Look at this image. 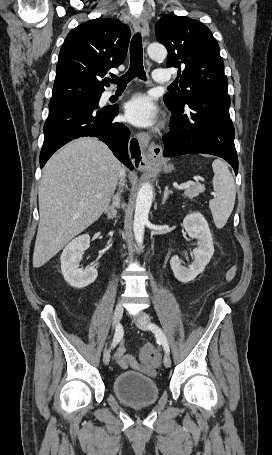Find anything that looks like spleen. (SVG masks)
Listing matches in <instances>:
<instances>
[{"label": "spleen", "instance_id": "spleen-1", "mask_svg": "<svg viewBox=\"0 0 272 455\" xmlns=\"http://www.w3.org/2000/svg\"><path fill=\"white\" fill-rule=\"evenodd\" d=\"M213 187L216 197L209 201L215 226L223 228L232 213L236 198V186L226 163L216 159L212 163Z\"/></svg>", "mask_w": 272, "mask_h": 455}]
</instances>
